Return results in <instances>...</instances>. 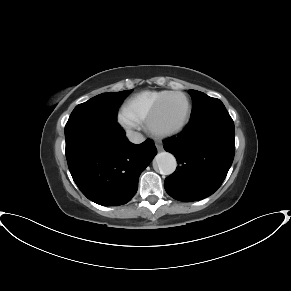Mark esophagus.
Wrapping results in <instances>:
<instances>
[{
	"instance_id": "esophagus-1",
	"label": "esophagus",
	"mask_w": 291,
	"mask_h": 291,
	"mask_svg": "<svg viewBox=\"0 0 291 291\" xmlns=\"http://www.w3.org/2000/svg\"><path fill=\"white\" fill-rule=\"evenodd\" d=\"M155 147H156V149L158 150V151H162L164 148H163V145L162 144H160V143H156L155 144Z\"/></svg>"
}]
</instances>
